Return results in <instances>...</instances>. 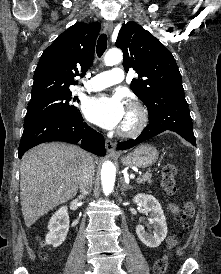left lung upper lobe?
I'll list each match as a JSON object with an SVG mask.
<instances>
[{"mask_svg":"<svg viewBox=\"0 0 221 274\" xmlns=\"http://www.w3.org/2000/svg\"><path fill=\"white\" fill-rule=\"evenodd\" d=\"M116 46L124 53L123 67L138 73L131 89L147 106L156 110L185 101L182 77L171 52L152 34L135 22L122 25Z\"/></svg>","mask_w":221,"mask_h":274,"instance_id":"5c2ea615","label":"left lung upper lobe"}]
</instances>
